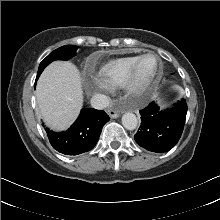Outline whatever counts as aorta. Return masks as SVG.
<instances>
[{
    "label": "aorta",
    "mask_w": 220,
    "mask_h": 220,
    "mask_svg": "<svg viewBox=\"0 0 220 220\" xmlns=\"http://www.w3.org/2000/svg\"><path fill=\"white\" fill-rule=\"evenodd\" d=\"M137 124L138 119L135 114L128 112L122 116V125L127 130H134L137 127Z\"/></svg>",
    "instance_id": "762f6f07"
}]
</instances>
